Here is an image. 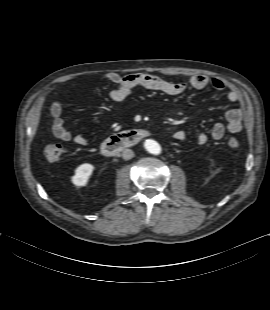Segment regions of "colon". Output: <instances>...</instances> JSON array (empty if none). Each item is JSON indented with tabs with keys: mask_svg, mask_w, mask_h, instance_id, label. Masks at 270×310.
<instances>
[{
	"mask_svg": "<svg viewBox=\"0 0 270 310\" xmlns=\"http://www.w3.org/2000/svg\"><path fill=\"white\" fill-rule=\"evenodd\" d=\"M227 145L231 150H237L240 147V141L236 137H230ZM65 150L60 144H50L45 149V156L49 161L57 162L63 158Z\"/></svg>",
	"mask_w": 270,
	"mask_h": 310,
	"instance_id": "obj_1",
	"label": "colon"
}]
</instances>
